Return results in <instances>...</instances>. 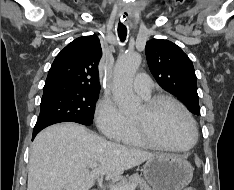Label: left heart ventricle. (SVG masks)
Here are the masks:
<instances>
[{"label": "left heart ventricle", "mask_w": 234, "mask_h": 190, "mask_svg": "<svg viewBox=\"0 0 234 190\" xmlns=\"http://www.w3.org/2000/svg\"><path fill=\"white\" fill-rule=\"evenodd\" d=\"M145 116L143 105L134 119H143ZM151 129L158 140L171 146H186L193 138L192 128L186 116L170 103H165L157 109L151 119Z\"/></svg>", "instance_id": "left-heart-ventricle-1"}]
</instances>
